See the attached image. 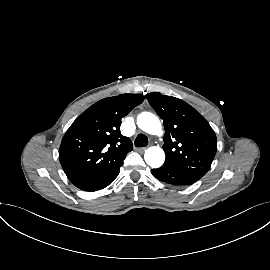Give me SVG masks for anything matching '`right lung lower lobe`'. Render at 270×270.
Listing matches in <instances>:
<instances>
[{
    "instance_id": "1",
    "label": "right lung lower lobe",
    "mask_w": 270,
    "mask_h": 270,
    "mask_svg": "<svg viewBox=\"0 0 270 270\" xmlns=\"http://www.w3.org/2000/svg\"><path fill=\"white\" fill-rule=\"evenodd\" d=\"M122 166V165H121ZM120 166V167H121ZM120 167L116 168L113 171L98 174L88 178H84L73 182V184L81 190L93 192L100 190L108 186L119 174Z\"/></svg>"
}]
</instances>
